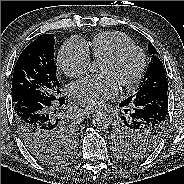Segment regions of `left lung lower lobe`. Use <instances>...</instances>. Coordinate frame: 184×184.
Segmentation results:
<instances>
[{
  "instance_id": "obj_1",
  "label": "left lung lower lobe",
  "mask_w": 184,
  "mask_h": 184,
  "mask_svg": "<svg viewBox=\"0 0 184 184\" xmlns=\"http://www.w3.org/2000/svg\"><path fill=\"white\" fill-rule=\"evenodd\" d=\"M167 93L166 91L150 92L133 101V105L124 103L121 105L133 107L131 116L136 127L143 130H146L145 127H152L153 129L150 133L154 140L149 143H139L135 149L137 153L152 151L161 140L168 111Z\"/></svg>"
}]
</instances>
